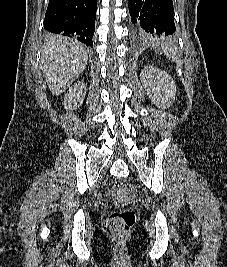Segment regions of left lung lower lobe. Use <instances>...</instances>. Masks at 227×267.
I'll use <instances>...</instances> for the list:
<instances>
[{
    "label": "left lung lower lobe",
    "mask_w": 227,
    "mask_h": 267,
    "mask_svg": "<svg viewBox=\"0 0 227 267\" xmlns=\"http://www.w3.org/2000/svg\"><path fill=\"white\" fill-rule=\"evenodd\" d=\"M129 13L137 38L176 33L172 0H129Z\"/></svg>",
    "instance_id": "0a47b994"
}]
</instances>
